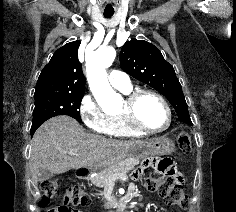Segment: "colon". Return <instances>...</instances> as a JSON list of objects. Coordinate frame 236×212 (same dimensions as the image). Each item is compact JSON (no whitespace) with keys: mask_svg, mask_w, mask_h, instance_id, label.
I'll use <instances>...</instances> for the list:
<instances>
[{"mask_svg":"<svg viewBox=\"0 0 236 212\" xmlns=\"http://www.w3.org/2000/svg\"><path fill=\"white\" fill-rule=\"evenodd\" d=\"M179 150L184 154L192 151V141L188 133L182 132L177 139ZM139 175V172H135ZM146 185L149 190L155 191L163 197L167 203L187 207L188 202L183 192L182 180L174 170H169L166 174L156 177L149 175L146 177ZM42 197L40 203L48 204L58 191V183L55 180H45L41 183ZM91 203V197L78 184L69 185L64 194V202L49 212H79L77 207L86 206Z\"/></svg>","mask_w":236,"mask_h":212,"instance_id":"5ec220e1","label":"colon"}]
</instances>
